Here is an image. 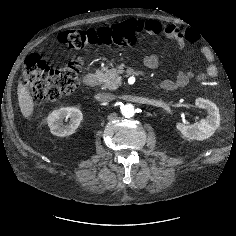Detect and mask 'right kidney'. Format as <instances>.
<instances>
[{"mask_svg":"<svg viewBox=\"0 0 236 236\" xmlns=\"http://www.w3.org/2000/svg\"><path fill=\"white\" fill-rule=\"evenodd\" d=\"M68 119L69 123L65 125L64 120ZM82 119V112L78 108L65 107L49 114L47 123L53 135L64 137L73 134Z\"/></svg>","mask_w":236,"mask_h":236,"instance_id":"1","label":"right kidney"}]
</instances>
